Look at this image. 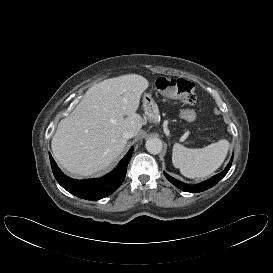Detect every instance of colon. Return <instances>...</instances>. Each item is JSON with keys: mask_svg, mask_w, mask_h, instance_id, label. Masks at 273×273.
<instances>
[{"mask_svg": "<svg viewBox=\"0 0 273 273\" xmlns=\"http://www.w3.org/2000/svg\"><path fill=\"white\" fill-rule=\"evenodd\" d=\"M159 91L165 95L179 99L187 105H193L196 102L195 85L186 79H170L161 77L156 83ZM186 121H194L196 113L192 109H184L180 113Z\"/></svg>", "mask_w": 273, "mask_h": 273, "instance_id": "5ec220e1", "label": "colon"}]
</instances>
